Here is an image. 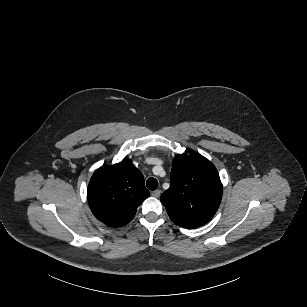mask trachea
<instances>
[{"label": "trachea", "mask_w": 307, "mask_h": 307, "mask_svg": "<svg viewBox=\"0 0 307 307\" xmlns=\"http://www.w3.org/2000/svg\"><path fill=\"white\" fill-rule=\"evenodd\" d=\"M146 185H147L148 189L155 190L158 187V181L155 178H149L146 181Z\"/></svg>", "instance_id": "3493384b"}]
</instances>
